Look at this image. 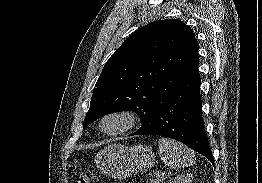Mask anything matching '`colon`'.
I'll return each instance as SVG.
<instances>
[{"mask_svg":"<svg viewBox=\"0 0 262 183\" xmlns=\"http://www.w3.org/2000/svg\"><path fill=\"white\" fill-rule=\"evenodd\" d=\"M95 178L94 172H85L79 174L75 180L74 183H91Z\"/></svg>","mask_w":262,"mask_h":183,"instance_id":"obj_1","label":"colon"}]
</instances>
